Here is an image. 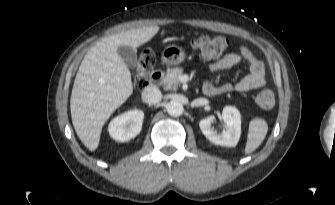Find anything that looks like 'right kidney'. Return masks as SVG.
Instances as JSON below:
<instances>
[{
    "label": "right kidney",
    "mask_w": 335,
    "mask_h": 205,
    "mask_svg": "<svg viewBox=\"0 0 335 205\" xmlns=\"http://www.w3.org/2000/svg\"><path fill=\"white\" fill-rule=\"evenodd\" d=\"M143 119L142 110L127 111L111 120L108 126L109 134L116 141H129L140 133Z\"/></svg>",
    "instance_id": "1"
}]
</instances>
